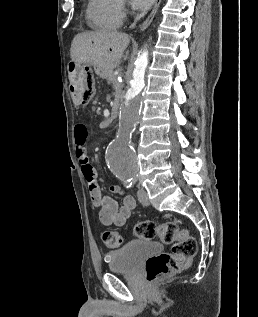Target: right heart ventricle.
I'll use <instances>...</instances> for the list:
<instances>
[{
  "mask_svg": "<svg viewBox=\"0 0 258 317\" xmlns=\"http://www.w3.org/2000/svg\"><path fill=\"white\" fill-rule=\"evenodd\" d=\"M123 0H89L86 6V18L98 31L116 30L123 21Z\"/></svg>",
  "mask_w": 258,
  "mask_h": 317,
  "instance_id": "right-heart-ventricle-1",
  "label": "right heart ventricle"
}]
</instances>
